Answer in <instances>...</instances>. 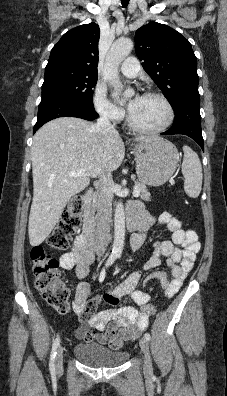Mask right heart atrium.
<instances>
[{
	"instance_id": "1",
	"label": "right heart atrium",
	"mask_w": 227,
	"mask_h": 396,
	"mask_svg": "<svg viewBox=\"0 0 227 396\" xmlns=\"http://www.w3.org/2000/svg\"><path fill=\"white\" fill-rule=\"evenodd\" d=\"M93 103L96 112L110 122L117 123L124 118V110L108 99L102 86H96Z\"/></svg>"
}]
</instances>
